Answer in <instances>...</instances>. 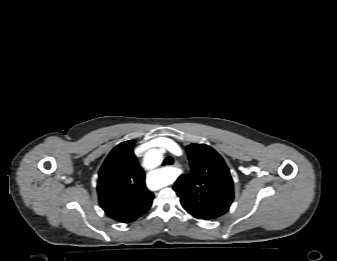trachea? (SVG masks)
I'll return each mask as SVG.
<instances>
[{
	"mask_svg": "<svg viewBox=\"0 0 337 261\" xmlns=\"http://www.w3.org/2000/svg\"><path fill=\"white\" fill-rule=\"evenodd\" d=\"M173 163H174V159L169 156L165 158L163 165H172Z\"/></svg>",
	"mask_w": 337,
	"mask_h": 261,
	"instance_id": "1",
	"label": "trachea"
}]
</instances>
